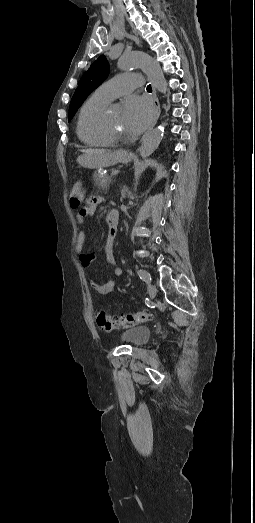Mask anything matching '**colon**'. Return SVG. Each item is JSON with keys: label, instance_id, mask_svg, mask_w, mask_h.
<instances>
[{"label": "colon", "instance_id": "1", "mask_svg": "<svg viewBox=\"0 0 255 523\" xmlns=\"http://www.w3.org/2000/svg\"><path fill=\"white\" fill-rule=\"evenodd\" d=\"M70 205L72 208H79L84 202V184L80 179L75 180L70 189ZM152 315L149 311H138L127 313L120 316H112L101 310L96 314L97 325L105 330L112 331L120 326L135 325L151 320Z\"/></svg>", "mask_w": 255, "mask_h": 523}]
</instances>
